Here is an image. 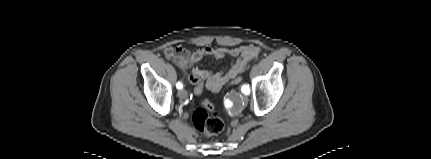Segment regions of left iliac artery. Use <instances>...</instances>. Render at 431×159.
<instances>
[{
  "mask_svg": "<svg viewBox=\"0 0 431 159\" xmlns=\"http://www.w3.org/2000/svg\"><path fill=\"white\" fill-rule=\"evenodd\" d=\"M241 91L246 95L249 94L250 93L249 86L247 85L242 86Z\"/></svg>",
  "mask_w": 431,
  "mask_h": 159,
  "instance_id": "1",
  "label": "left iliac artery"
}]
</instances>
